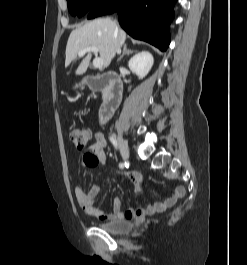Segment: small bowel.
<instances>
[{
    "label": "small bowel",
    "mask_w": 247,
    "mask_h": 265,
    "mask_svg": "<svg viewBox=\"0 0 247 265\" xmlns=\"http://www.w3.org/2000/svg\"><path fill=\"white\" fill-rule=\"evenodd\" d=\"M106 140L101 133L95 134V141L90 146L81 159V166L84 168H94L98 165H103L106 162ZM127 176L135 184V193H140L143 189L141 176L134 171L126 172ZM100 187L95 184L88 191H85L81 186H76L74 195L81 208L90 216L100 220H142L144 217L162 212L167 207L172 206L178 199L184 196L185 190L183 187H177L173 193L163 202H155L146 208H129L125 211L121 210V201L115 199L113 209L110 212L98 209L96 207V199L99 195Z\"/></svg>",
    "instance_id": "small-bowel-1"
}]
</instances>
